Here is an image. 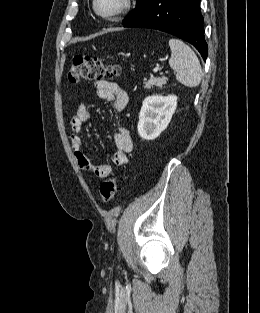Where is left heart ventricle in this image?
<instances>
[{"mask_svg": "<svg viewBox=\"0 0 260 313\" xmlns=\"http://www.w3.org/2000/svg\"><path fill=\"white\" fill-rule=\"evenodd\" d=\"M121 0H98L97 6L101 12H111L119 7Z\"/></svg>", "mask_w": 260, "mask_h": 313, "instance_id": "1", "label": "left heart ventricle"}]
</instances>
